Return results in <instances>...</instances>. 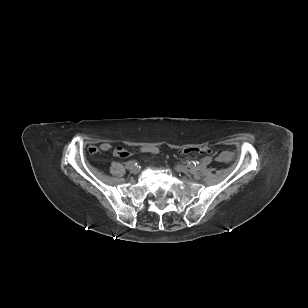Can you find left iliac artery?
Here are the masks:
<instances>
[{
  "mask_svg": "<svg viewBox=\"0 0 308 308\" xmlns=\"http://www.w3.org/2000/svg\"><path fill=\"white\" fill-rule=\"evenodd\" d=\"M194 163V165L196 166V164L198 165L199 164V162H193ZM201 166L202 167H207L208 165H210L211 164V159L210 158H204L202 161H201Z\"/></svg>",
  "mask_w": 308,
  "mask_h": 308,
  "instance_id": "1",
  "label": "left iliac artery"
}]
</instances>
